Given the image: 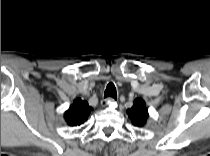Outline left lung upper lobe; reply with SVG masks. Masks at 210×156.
Here are the masks:
<instances>
[{"mask_svg":"<svg viewBox=\"0 0 210 156\" xmlns=\"http://www.w3.org/2000/svg\"><path fill=\"white\" fill-rule=\"evenodd\" d=\"M127 114L133 125L144 126L148 118V110L145 107L144 100L141 98L135 99L132 108L127 110Z\"/></svg>","mask_w":210,"mask_h":156,"instance_id":"obj_1","label":"left lung upper lobe"}]
</instances>
